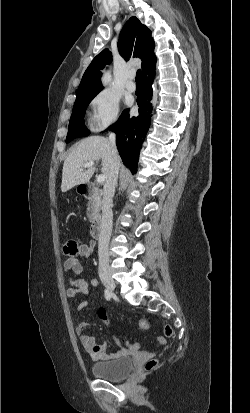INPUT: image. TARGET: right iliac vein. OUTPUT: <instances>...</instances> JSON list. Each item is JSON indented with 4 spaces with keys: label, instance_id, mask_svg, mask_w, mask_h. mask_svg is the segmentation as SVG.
Returning a JSON list of instances; mask_svg holds the SVG:
<instances>
[{
    "label": "right iliac vein",
    "instance_id": "63e3f726",
    "mask_svg": "<svg viewBox=\"0 0 250 413\" xmlns=\"http://www.w3.org/2000/svg\"><path fill=\"white\" fill-rule=\"evenodd\" d=\"M101 280L105 287L111 292L114 293L115 290V283L107 273L100 274Z\"/></svg>",
    "mask_w": 250,
    "mask_h": 413
}]
</instances>
